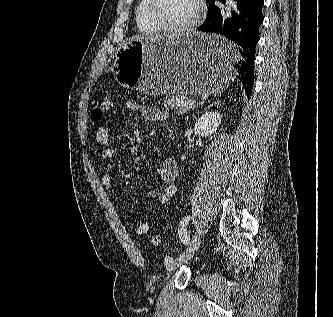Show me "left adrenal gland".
Instances as JSON below:
<instances>
[{"label":"left adrenal gland","instance_id":"obj_1","mask_svg":"<svg viewBox=\"0 0 333 317\" xmlns=\"http://www.w3.org/2000/svg\"><path fill=\"white\" fill-rule=\"evenodd\" d=\"M221 103V101H215L213 104H211V106L212 105H217V104H220Z\"/></svg>","mask_w":333,"mask_h":317}]
</instances>
